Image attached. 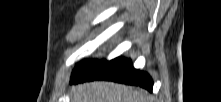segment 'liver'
Masks as SVG:
<instances>
[{
    "label": "liver",
    "mask_w": 221,
    "mask_h": 102,
    "mask_svg": "<svg viewBox=\"0 0 221 102\" xmlns=\"http://www.w3.org/2000/svg\"><path fill=\"white\" fill-rule=\"evenodd\" d=\"M72 102H149L144 92L113 82L94 81L70 90Z\"/></svg>",
    "instance_id": "1"
}]
</instances>
